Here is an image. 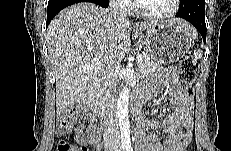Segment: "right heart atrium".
Segmentation results:
<instances>
[{
	"label": "right heart atrium",
	"mask_w": 231,
	"mask_h": 151,
	"mask_svg": "<svg viewBox=\"0 0 231 151\" xmlns=\"http://www.w3.org/2000/svg\"><path fill=\"white\" fill-rule=\"evenodd\" d=\"M114 5L122 11H127L129 9L130 2L128 0H115Z\"/></svg>",
	"instance_id": "d8ad5b80"
}]
</instances>
